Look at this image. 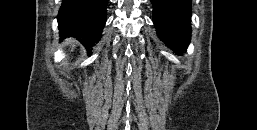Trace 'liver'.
Here are the masks:
<instances>
[{"mask_svg": "<svg viewBox=\"0 0 257 130\" xmlns=\"http://www.w3.org/2000/svg\"><path fill=\"white\" fill-rule=\"evenodd\" d=\"M73 43V40H67L66 42H65V44L67 45V44H72Z\"/></svg>", "mask_w": 257, "mask_h": 130, "instance_id": "obj_1", "label": "liver"}]
</instances>
